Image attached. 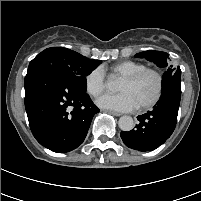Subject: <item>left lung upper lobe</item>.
<instances>
[{
  "instance_id": "5c2ea615",
  "label": "left lung upper lobe",
  "mask_w": 201,
  "mask_h": 201,
  "mask_svg": "<svg viewBox=\"0 0 201 201\" xmlns=\"http://www.w3.org/2000/svg\"><path fill=\"white\" fill-rule=\"evenodd\" d=\"M169 54L161 51H144L137 53L135 57L146 58L147 60L154 62L157 66L165 68V72L162 78V89L168 87L172 82L181 83V70L180 67H173L169 65L167 58Z\"/></svg>"
}]
</instances>
